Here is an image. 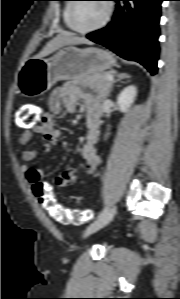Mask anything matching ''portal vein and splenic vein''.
<instances>
[{
	"label": "portal vein and splenic vein",
	"instance_id": "obj_1",
	"mask_svg": "<svg viewBox=\"0 0 180 299\" xmlns=\"http://www.w3.org/2000/svg\"><path fill=\"white\" fill-rule=\"evenodd\" d=\"M107 80L108 81H113V75H111V74L107 75Z\"/></svg>",
	"mask_w": 180,
	"mask_h": 299
}]
</instances>
